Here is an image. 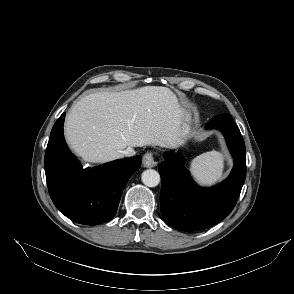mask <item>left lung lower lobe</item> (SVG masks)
Masks as SVG:
<instances>
[{
  "label": "left lung lower lobe",
  "instance_id": "left-lung-lower-lobe-1",
  "mask_svg": "<svg viewBox=\"0 0 294 294\" xmlns=\"http://www.w3.org/2000/svg\"><path fill=\"white\" fill-rule=\"evenodd\" d=\"M212 124L220 129L234 158L229 177L212 188L197 186L182 159L165 153L159 164L161 176L160 205L166 224L182 231L207 229L226 218L239 198L246 177L245 143L230 114H219Z\"/></svg>",
  "mask_w": 294,
  "mask_h": 294
}]
</instances>
